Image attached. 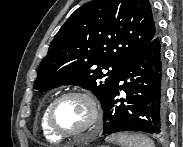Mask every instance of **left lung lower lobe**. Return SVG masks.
Segmentation results:
<instances>
[{"instance_id": "1", "label": "left lung lower lobe", "mask_w": 183, "mask_h": 147, "mask_svg": "<svg viewBox=\"0 0 183 147\" xmlns=\"http://www.w3.org/2000/svg\"><path fill=\"white\" fill-rule=\"evenodd\" d=\"M120 90L126 93L125 98H118ZM102 107L103 134L165 133L164 68L157 35L125 63Z\"/></svg>"}]
</instances>
